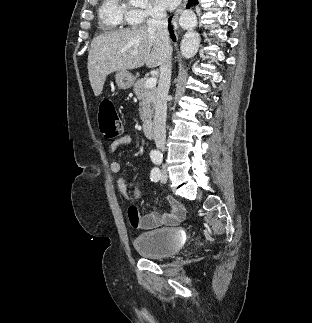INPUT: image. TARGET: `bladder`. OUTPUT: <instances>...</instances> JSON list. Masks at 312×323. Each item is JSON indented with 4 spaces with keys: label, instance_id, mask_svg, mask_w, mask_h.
<instances>
[{
    "label": "bladder",
    "instance_id": "obj_1",
    "mask_svg": "<svg viewBox=\"0 0 312 323\" xmlns=\"http://www.w3.org/2000/svg\"><path fill=\"white\" fill-rule=\"evenodd\" d=\"M134 246L141 257H171L178 252L179 239L176 229H158L148 234L135 236Z\"/></svg>",
    "mask_w": 312,
    "mask_h": 323
}]
</instances>
